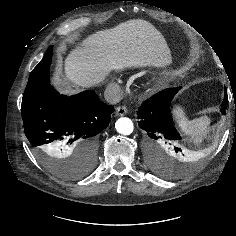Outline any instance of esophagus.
<instances>
[{
  "label": "esophagus",
  "mask_w": 236,
  "mask_h": 236,
  "mask_svg": "<svg viewBox=\"0 0 236 236\" xmlns=\"http://www.w3.org/2000/svg\"><path fill=\"white\" fill-rule=\"evenodd\" d=\"M128 113V110L125 106H119L116 108V115L117 116H123Z\"/></svg>",
  "instance_id": "esophagus-1"
}]
</instances>
